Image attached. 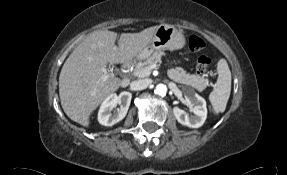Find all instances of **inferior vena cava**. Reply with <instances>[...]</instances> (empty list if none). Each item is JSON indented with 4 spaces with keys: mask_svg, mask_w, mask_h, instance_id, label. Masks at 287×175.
I'll return each instance as SVG.
<instances>
[{
    "mask_svg": "<svg viewBox=\"0 0 287 175\" xmlns=\"http://www.w3.org/2000/svg\"><path fill=\"white\" fill-rule=\"evenodd\" d=\"M151 84L150 79H142L138 81H133L131 87L133 90H144Z\"/></svg>",
    "mask_w": 287,
    "mask_h": 175,
    "instance_id": "602c4592",
    "label": "inferior vena cava"
}]
</instances>
